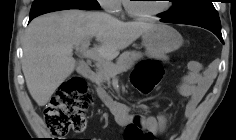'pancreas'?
Masks as SVG:
<instances>
[{"label": "pancreas", "instance_id": "pancreas-1", "mask_svg": "<svg viewBox=\"0 0 236 140\" xmlns=\"http://www.w3.org/2000/svg\"><path fill=\"white\" fill-rule=\"evenodd\" d=\"M143 54L138 51H126L122 53L117 59L116 64L105 61L101 62L98 65V69L95 74L92 76V80L98 85H101L104 82L110 84V79L114 77V73L122 72L130 69L136 61L141 59Z\"/></svg>", "mask_w": 236, "mask_h": 140}]
</instances>
